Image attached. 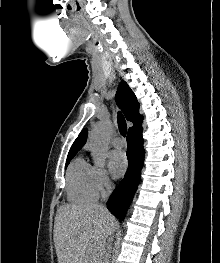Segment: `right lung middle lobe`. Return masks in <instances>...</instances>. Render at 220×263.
I'll list each match as a JSON object with an SVG mask.
<instances>
[{"label": "right lung middle lobe", "instance_id": "dd1d6c3e", "mask_svg": "<svg viewBox=\"0 0 220 263\" xmlns=\"http://www.w3.org/2000/svg\"><path fill=\"white\" fill-rule=\"evenodd\" d=\"M74 157V155L68 156L67 157V163H66V167L69 164L70 160Z\"/></svg>", "mask_w": 220, "mask_h": 263}]
</instances>
